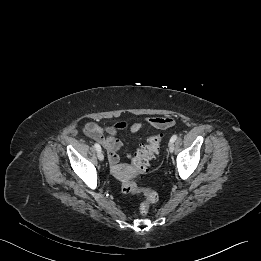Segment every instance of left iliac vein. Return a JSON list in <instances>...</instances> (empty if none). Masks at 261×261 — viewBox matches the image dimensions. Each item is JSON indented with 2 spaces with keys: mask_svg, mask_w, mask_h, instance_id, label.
Wrapping results in <instances>:
<instances>
[{
  "mask_svg": "<svg viewBox=\"0 0 261 261\" xmlns=\"http://www.w3.org/2000/svg\"><path fill=\"white\" fill-rule=\"evenodd\" d=\"M173 150H174V144H173V143H169V145H168V151H169V152H173Z\"/></svg>",
  "mask_w": 261,
  "mask_h": 261,
  "instance_id": "left-iliac-vein-1",
  "label": "left iliac vein"
}]
</instances>
